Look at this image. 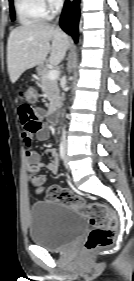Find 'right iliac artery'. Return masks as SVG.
Returning <instances> with one entry per match:
<instances>
[{
    "instance_id": "right-iliac-artery-1",
    "label": "right iliac artery",
    "mask_w": 134,
    "mask_h": 281,
    "mask_svg": "<svg viewBox=\"0 0 134 281\" xmlns=\"http://www.w3.org/2000/svg\"><path fill=\"white\" fill-rule=\"evenodd\" d=\"M59 154H60V158L63 160L65 156V149H64L63 142L60 143Z\"/></svg>"
}]
</instances>
